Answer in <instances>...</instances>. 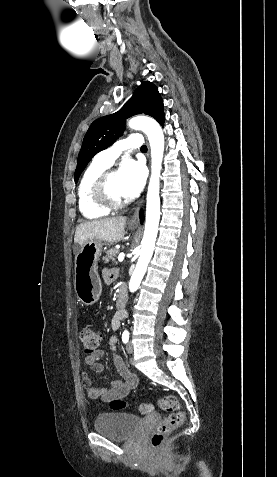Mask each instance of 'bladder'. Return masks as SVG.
<instances>
[{
    "label": "bladder",
    "instance_id": "31cf9c89",
    "mask_svg": "<svg viewBox=\"0 0 277 477\" xmlns=\"http://www.w3.org/2000/svg\"><path fill=\"white\" fill-rule=\"evenodd\" d=\"M141 419L131 413L112 412L99 415L94 422L95 431L112 440L123 441L138 431Z\"/></svg>",
    "mask_w": 277,
    "mask_h": 477
}]
</instances>
